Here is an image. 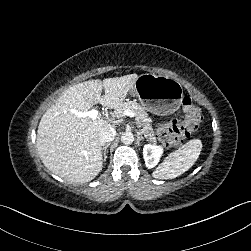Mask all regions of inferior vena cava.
Here are the masks:
<instances>
[{
	"label": "inferior vena cava",
	"instance_id": "obj_1",
	"mask_svg": "<svg viewBox=\"0 0 251 251\" xmlns=\"http://www.w3.org/2000/svg\"><path fill=\"white\" fill-rule=\"evenodd\" d=\"M116 130L113 127H105L99 133V138L102 142H111L115 139Z\"/></svg>",
	"mask_w": 251,
	"mask_h": 251
}]
</instances>
